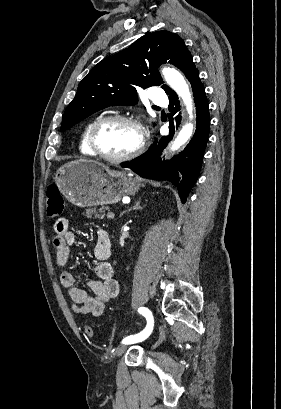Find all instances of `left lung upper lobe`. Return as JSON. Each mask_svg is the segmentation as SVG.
<instances>
[{
	"mask_svg": "<svg viewBox=\"0 0 281 409\" xmlns=\"http://www.w3.org/2000/svg\"><path fill=\"white\" fill-rule=\"evenodd\" d=\"M170 63L189 80L196 69L184 41L170 31L145 35L123 51L99 62L80 82L63 115L61 131L109 106L137 103L136 87L159 86L175 94L163 81L158 67Z\"/></svg>",
	"mask_w": 281,
	"mask_h": 409,
	"instance_id": "1",
	"label": "left lung upper lobe"
}]
</instances>
